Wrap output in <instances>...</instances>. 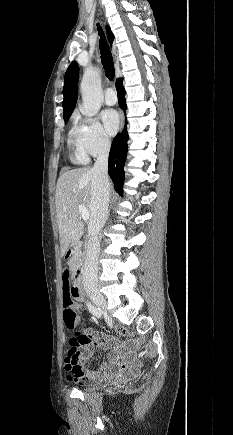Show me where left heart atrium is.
<instances>
[{"instance_id":"39dd6f15","label":"left heart atrium","mask_w":233,"mask_h":435,"mask_svg":"<svg viewBox=\"0 0 233 435\" xmlns=\"http://www.w3.org/2000/svg\"><path fill=\"white\" fill-rule=\"evenodd\" d=\"M103 126L108 134H114L119 128V115L114 109H105L101 113Z\"/></svg>"}]
</instances>
